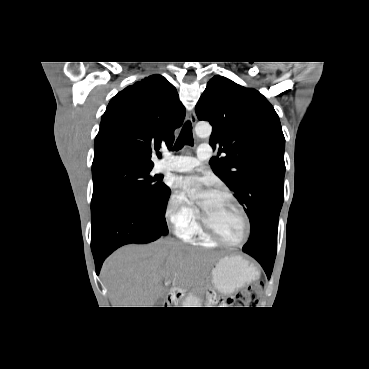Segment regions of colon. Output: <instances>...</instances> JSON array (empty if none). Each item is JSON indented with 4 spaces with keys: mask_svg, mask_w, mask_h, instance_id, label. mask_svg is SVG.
<instances>
[{
    "mask_svg": "<svg viewBox=\"0 0 369 369\" xmlns=\"http://www.w3.org/2000/svg\"><path fill=\"white\" fill-rule=\"evenodd\" d=\"M263 286L262 282H257L238 292L234 298L219 299L218 301L222 306L255 307L258 303V295L262 291Z\"/></svg>",
    "mask_w": 369,
    "mask_h": 369,
    "instance_id": "5ec220e1",
    "label": "colon"
}]
</instances>
